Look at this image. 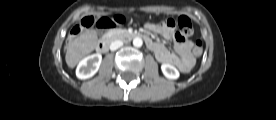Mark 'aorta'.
Instances as JSON below:
<instances>
[{"mask_svg":"<svg viewBox=\"0 0 276 120\" xmlns=\"http://www.w3.org/2000/svg\"><path fill=\"white\" fill-rule=\"evenodd\" d=\"M142 44H143V40L140 38V37H135L134 39H133V45L135 46V47H141L142 46Z\"/></svg>","mask_w":276,"mask_h":120,"instance_id":"aorta-1","label":"aorta"}]
</instances>
